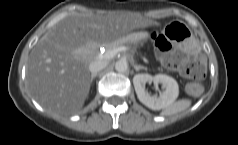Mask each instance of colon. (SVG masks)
<instances>
[{
    "label": "colon",
    "instance_id": "obj_1",
    "mask_svg": "<svg viewBox=\"0 0 238 145\" xmlns=\"http://www.w3.org/2000/svg\"><path fill=\"white\" fill-rule=\"evenodd\" d=\"M155 47L163 64L170 70L177 71L193 81L187 86L191 95H198L202 92L201 80L205 77L206 61L200 55H183L171 48L170 42L162 35L153 34Z\"/></svg>",
    "mask_w": 238,
    "mask_h": 145
}]
</instances>
